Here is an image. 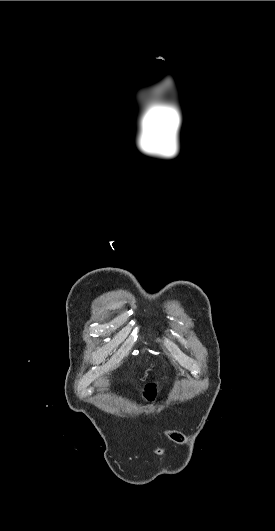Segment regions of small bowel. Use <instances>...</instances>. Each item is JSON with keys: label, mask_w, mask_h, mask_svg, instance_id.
<instances>
[{"label": "small bowel", "mask_w": 275, "mask_h": 531, "mask_svg": "<svg viewBox=\"0 0 275 531\" xmlns=\"http://www.w3.org/2000/svg\"><path fill=\"white\" fill-rule=\"evenodd\" d=\"M154 393H155V387L149 386L145 392V396L146 398L151 399L154 396Z\"/></svg>", "instance_id": "c3829d8e"}]
</instances>
